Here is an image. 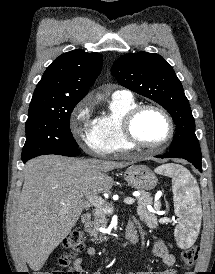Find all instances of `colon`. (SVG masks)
<instances>
[{
  "instance_id": "colon-1",
  "label": "colon",
  "mask_w": 215,
  "mask_h": 274,
  "mask_svg": "<svg viewBox=\"0 0 215 274\" xmlns=\"http://www.w3.org/2000/svg\"><path fill=\"white\" fill-rule=\"evenodd\" d=\"M63 246L65 249L69 250L70 253L72 254L83 250L84 242H83L82 229L75 228L71 232H69L63 241ZM198 253H199V249L196 246L185 249L182 252L181 258L185 267L191 268L195 264L198 258ZM69 260H70V254H64L60 258V264L65 266L68 264ZM39 274H72V272L61 271V270H50V271L41 272Z\"/></svg>"
}]
</instances>
